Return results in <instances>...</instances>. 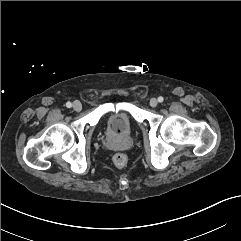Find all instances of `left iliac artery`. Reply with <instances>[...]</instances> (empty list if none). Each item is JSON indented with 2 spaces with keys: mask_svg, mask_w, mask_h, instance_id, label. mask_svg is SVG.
Segmentation results:
<instances>
[{
  "mask_svg": "<svg viewBox=\"0 0 241 241\" xmlns=\"http://www.w3.org/2000/svg\"><path fill=\"white\" fill-rule=\"evenodd\" d=\"M164 98L162 96L158 97V102H163Z\"/></svg>",
  "mask_w": 241,
  "mask_h": 241,
  "instance_id": "left-iliac-artery-1",
  "label": "left iliac artery"
}]
</instances>
